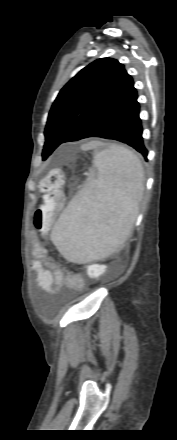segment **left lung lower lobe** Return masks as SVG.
<instances>
[{
    "mask_svg": "<svg viewBox=\"0 0 177 440\" xmlns=\"http://www.w3.org/2000/svg\"><path fill=\"white\" fill-rule=\"evenodd\" d=\"M137 97L136 92L123 107L83 138L101 137L126 143L147 160L148 151L143 142V128L139 117L140 106Z\"/></svg>",
    "mask_w": 177,
    "mask_h": 440,
    "instance_id": "1",
    "label": "left lung lower lobe"
}]
</instances>
